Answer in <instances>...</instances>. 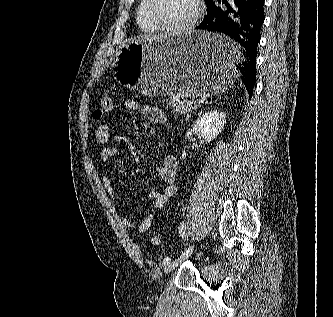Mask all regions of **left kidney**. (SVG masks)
Segmentation results:
<instances>
[{
  "mask_svg": "<svg viewBox=\"0 0 333 317\" xmlns=\"http://www.w3.org/2000/svg\"><path fill=\"white\" fill-rule=\"evenodd\" d=\"M226 114L222 111L211 110L202 114L195 122L193 131L207 142L214 140L223 130Z\"/></svg>",
  "mask_w": 333,
  "mask_h": 317,
  "instance_id": "1",
  "label": "left kidney"
}]
</instances>
